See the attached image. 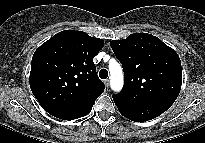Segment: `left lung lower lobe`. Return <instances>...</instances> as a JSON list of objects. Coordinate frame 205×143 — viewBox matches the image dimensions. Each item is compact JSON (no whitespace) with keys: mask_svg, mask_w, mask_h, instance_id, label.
<instances>
[{"mask_svg":"<svg viewBox=\"0 0 205 143\" xmlns=\"http://www.w3.org/2000/svg\"><path fill=\"white\" fill-rule=\"evenodd\" d=\"M113 100L119 112L126 118L143 122L158 117L171 107L172 101H161L147 104H130L113 96Z\"/></svg>","mask_w":205,"mask_h":143,"instance_id":"1","label":"left lung lower lobe"}]
</instances>
